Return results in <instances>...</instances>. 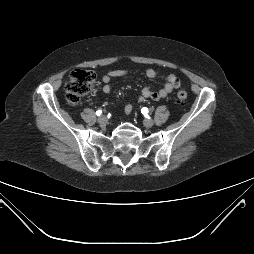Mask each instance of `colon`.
I'll return each instance as SVG.
<instances>
[{"mask_svg":"<svg viewBox=\"0 0 254 254\" xmlns=\"http://www.w3.org/2000/svg\"><path fill=\"white\" fill-rule=\"evenodd\" d=\"M95 73L89 70H75L69 74L65 84V96L70 105H76L81 98L91 92L95 87ZM187 93L183 90L177 93V99L184 102Z\"/></svg>","mask_w":254,"mask_h":254,"instance_id":"obj_1","label":"colon"}]
</instances>
